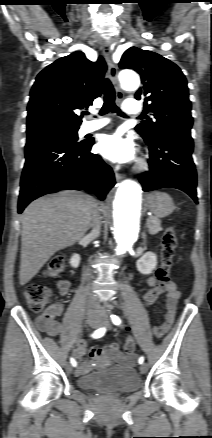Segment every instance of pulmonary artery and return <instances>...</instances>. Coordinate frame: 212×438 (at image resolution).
<instances>
[{
    "label": "pulmonary artery",
    "mask_w": 212,
    "mask_h": 438,
    "mask_svg": "<svg viewBox=\"0 0 212 438\" xmlns=\"http://www.w3.org/2000/svg\"><path fill=\"white\" fill-rule=\"evenodd\" d=\"M141 109H142V105L140 104V102H138L134 99L126 100L123 104V111L126 114H137V113L141 112ZM108 123H109V120L106 118H102V119H99L97 121L87 122L83 126V132L90 133V132L96 131L98 129L103 128Z\"/></svg>",
    "instance_id": "1"
}]
</instances>
